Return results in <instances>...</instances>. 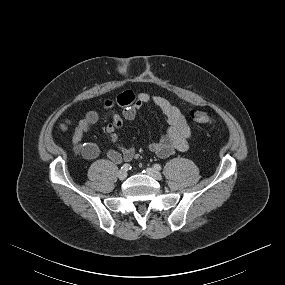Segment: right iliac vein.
I'll return each instance as SVG.
<instances>
[{"instance_id": "63e3f726", "label": "right iliac vein", "mask_w": 285, "mask_h": 285, "mask_svg": "<svg viewBox=\"0 0 285 285\" xmlns=\"http://www.w3.org/2000/svg\"><path fill=\"white\" fill-rule=\"evenodd\" d=\"M126 177H127V172H126V171L120 170V171L118 172V178H119L120 180H124Z\"/></svg>"}]
</instances>
